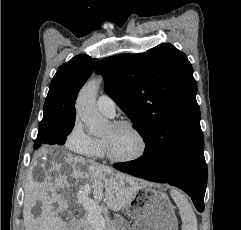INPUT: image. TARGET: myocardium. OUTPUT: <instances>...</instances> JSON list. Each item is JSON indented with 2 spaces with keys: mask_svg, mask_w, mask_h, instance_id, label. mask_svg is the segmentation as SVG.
Listing matches in <instances>:
<instances>
[{
  "mask_svg": "<svg viewBox=\"0 0 241 230\" xmlns=\"http://www.w3.org/2000/svg\"><path fill=\"white\" fill-rule=\"evenodd\" d=\"M112 126L113 127H127L129 129H131L137 135L141 146H140L139 152L135 156L130 157V158H119V157H116L112 153L109 143L103 139L104 153H105L106 157L110 161H112L114 163H119V164H129V163H133V162H136V161H139L140 159H142L145 156L147 149H148L147 140H146L144 134L142 133V131L134 123H132L131 121H128V120L115 121L112 123Z\"/></svg>",
  "mask_w": 241,
  "mask_h": 230,
  "instance_id": "f54148a6",
  "label": "myocardium"
}]
</instances>
